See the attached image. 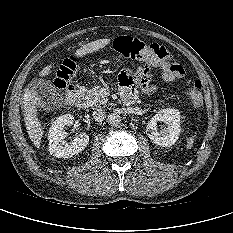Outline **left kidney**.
Here are the masks:
<instances>
[{"label":"left kidney","mask_w":233,"mask_h":233,"mask_svg":"<svg viewBox=\"0 0 233 233\" xmlns=\"http://www.w3.org/2000/svg\"><path fill=\"white\" fill-rule=\"evenodd\" d=\"M157 122H163L165 127L158 130ZM180 132V112L177 109L160 110L146 126V133L152 142L163 147L174 145Z\"/></svg>","instance_id":"left-kidney-1"}]
</instances>
